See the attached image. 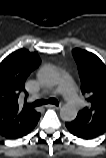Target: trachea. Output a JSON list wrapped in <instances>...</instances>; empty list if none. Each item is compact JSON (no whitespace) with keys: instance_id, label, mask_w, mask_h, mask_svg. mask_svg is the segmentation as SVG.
<instances>
[{"instance_id":"1","label":"trachea","mask_w":106,"mask_h":158,"mask_svg":"<svg viewBox=\"0 0 106 158\" xmlns=\"http://www.w3.org/2000/svg\"><path fill=\"white\" fill-rule=\"evenodd\" d=\"M58 104L59 102L55 99V98H50L48 100H38L32 104H30V107H35V106H40V105H44V104Z\"/></svg>"}]
</instances>
